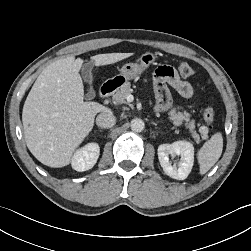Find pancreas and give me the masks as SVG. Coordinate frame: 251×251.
Wrapping results in <instances>:
<instances>
[{"label": "pancreas", "mask_w": 251, "mask_h": 251, "mask_svg": "<svg viewBox=\"0 0 251 251\" xmlns=\"http://www.w3.org/2000/svg\"><path fill=\"white\" fill-rule=\"evenodd\" d=\"M132 93L130 83L123 85L120 89H118L113 94V102L116 104H123L127 103L126 97ZM169 120L175 125L180 126L183 122H185V127L189 129L194 140L198 143L200 142V135L195 131V121L192 119L190 120L191 114L184 111L179 112L176 109H172L168 112Z\"/></svg>", "instance_id": "pancreas-1"}]
</instances>
